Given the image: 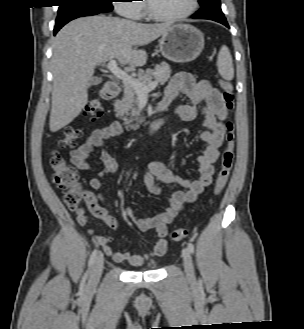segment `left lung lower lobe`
<instances>
[{
    "label": "left lung lower lobe",
    "instance_id": "1",
    "mask_svg": "<svg viewBox=\"0 0 304 329\" xmlns=\"http://www.w3.org/2000/svg\"><path fill=\"white\" fill-rule=\"evenodd\" d=\"M220 6V0H207L201 5L200 10L197 11L192 18L213 20L229 28Z\"/></svg>",
    "mask_w": 304,
    "mask_h": 329
}]
</instances>
